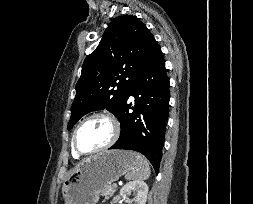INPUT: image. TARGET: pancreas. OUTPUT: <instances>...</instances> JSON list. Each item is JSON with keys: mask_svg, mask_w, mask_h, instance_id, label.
<instances>
[{"mask_svg": "<svg viewBox=\"0 0 253 204\" xmlns=\"http://www.w3.org/2000/svg\"><path fill=\"white\" fill-rule=\"evenodd\" d=\"M115 192V189L113 185H108L102 192L101 194L105 196L106 198L111 197Z\"/></svg>", "mask_w": 253, "mask_h": 204, "instance_id": "pancreas-1", "label": "pancreas"}]
</instances>
